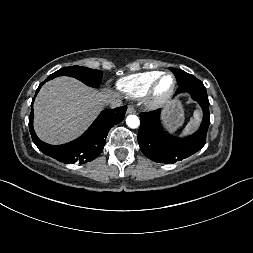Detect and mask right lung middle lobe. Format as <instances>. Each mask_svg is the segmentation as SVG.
<instances>
[{
  "mask_svg": "<svg viewBox=\"0 0 253 253\" xmlns=\"http://www.w3.org/2000/svg\"><path fill=\"white\" fill-rule=\"evenodd\" d=\"M71 76L77 78L78 80L84 82L85 84L98 87L102 80V72L96 69H90L81 66H71L62 68L53 74H51L48 78L53 79L58 76Z\"/></svg>",
  "mask_w": 253,
  "mask_h": 253,
  "instance_id": "obj_1",
  "label": "right lung middle lobe"
}]
</instances>
